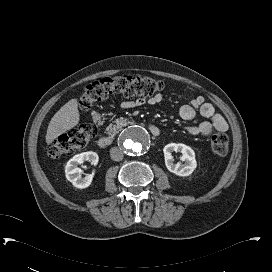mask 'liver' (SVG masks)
Listing matches in <instances>:
<instances>
[{
  "label": "liver",
  "instance_id": "obj_1",
  "mask_svg": "<svg viewBox=\"0 0 272 272\" xmlns=\"http://www.w3.org/2000/svg\"><path fill=\"white\" fill-rule=\"evenodd\" d=\"M79 120L77 99H71L52 117L47 128L46 143L51 144L59 135L74 128Z\"/></svg>",
  "mask_w": 272,
  "mask_h": 272
}]
</instances>
